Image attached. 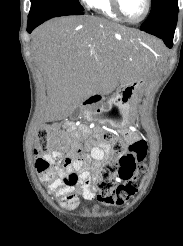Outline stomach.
I'll return each instance as SVG.
<instances>
[{"instance_id": "0dacf381", "label": "stomach", "mask_w": 183, "mask_h": 246, "mask_svg": "<svg viewBox=\"0 0 183 246\" xmlns=\"http://www.w3.org/2000/svg\"><path fill=\"white\" fill-rule=\"evenodd\" d=\"M138 48L153 56L154 48L146 42H131ZM145 82L140 78L134 82L124 84L107 101L106 106L99 112L100 122L112 127L121 128L130 124L131 114L136 109L135 92Z\"/></svg>"}]
</instances>
